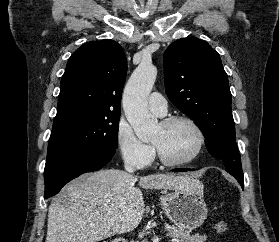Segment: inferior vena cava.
<instances>
[{"mask_svg": "<svg viewBox=\"0 0 279 242\" xmlns=\"http://www.w3.org/2000/svg\"><path fill=\"white\" fill-rule=\"evenodd\" d=\"M124 167H125V170L127 172H129V173H133L134 172V168H133V166L130 163H125Z\"/></svg>", "mask_w": 279, "mask_h": 242, "instance_id": "1", "label": "inferior vena cava"}]
</instances>
